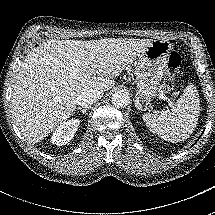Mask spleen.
Instances as JSON below:
<instances>
[{"mask_svg":"<svg viewBox=\"0 0 215 215\" xmlns=\"http://www.w3.org/2000/svg\"><path fill=\"white\" fill-rule=\"evenodd\" d=\"M200 114V100L193 85L184 89L171 112L162 114L146 113L143 121L150 131L170 142L186 140L197 126Z\"/></svg>","mask_w":215,"mask_h":215,"instance_id":"3e777b00","label":"spleen"}]
</instances>
